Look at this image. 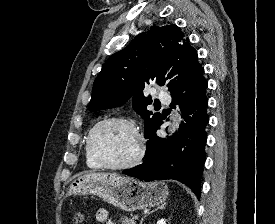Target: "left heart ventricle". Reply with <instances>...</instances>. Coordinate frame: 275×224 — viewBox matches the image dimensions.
<instances>
[{
    "label": "left heart ventricle",
    "instance_id": "1",
    "mask_svg": "<svg viewBox=\"0 0 275 224\" xmlns=\"http://www.w3.org/2000/svg\"><path fill=\"white\" fill-rule=\"evenodd\" d=\"M94 147L106 162L122 164L134 157L137 141L128 126L115 122L98 129L94 137Z\"/></svg>",
    "mask_w": 275,
    "mask_h": 224
}]
</instances>
